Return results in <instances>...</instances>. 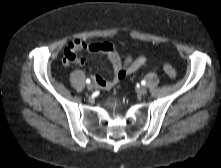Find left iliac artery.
<instances>
[{
    "instance_id": "left-iliac-artery-1",
    "label": "left iliac artery",
    "mask_w": 221,
    "mask_h": 168,
    "mask_svg": "<svg viewBox=\"0 0 221 168\" xmlns=\"http://www.w3.org/2000/svg\"><path fill=\"white\" fill-rule=\"evenodd\" d=\"M141 84H142V85H145V84H146V81H145V80H142V81H141Z\"/></svg>"
}]
</instances>
